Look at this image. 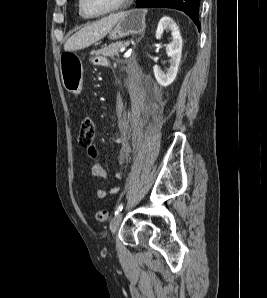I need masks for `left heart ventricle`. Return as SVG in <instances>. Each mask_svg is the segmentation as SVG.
Masks as SVG:
<instances>
[{
  "mask_svg": "<svg viewBox=\"0 0 267 298\" xmlns=\"http://www.w3.org/2000/svg\"><path fill=\"white\" fill-rule=\"evenodd\" d=\"M119 2L120 0H83L85 10L91 14L109 11Z\"/></svg>",
  "mask_w": 267,
  "mask_h": 298,
  "instance_id": "b2bd125f",
  "label": "left heart ventricle"
}]
</instances>
